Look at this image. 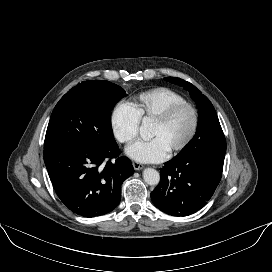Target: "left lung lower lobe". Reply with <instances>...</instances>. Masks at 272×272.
Here are the masks:
<instances>
[{
	"instance_id": "1",
	"label": "left lung lower lobe",
	"mask_w": 272,
	"mask_h": 272,
	"mask_svg": "<svg viewBox=\"0 0 272 272\" xmlns=\"http://www.w3.org/2000/svg\"><path fill=\"white\" fill-rule=\"evenodd\" d=\"M218 160L188 155L174 157L161 170L151 193L154 205L173 216H187L203 208L217 188L223 171Z\"/></svg>"
}]
</instances>
